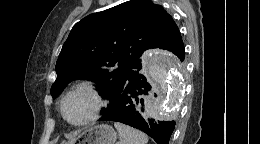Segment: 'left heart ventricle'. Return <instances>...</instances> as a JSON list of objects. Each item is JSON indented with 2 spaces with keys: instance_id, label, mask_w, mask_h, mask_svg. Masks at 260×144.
Wrapping results in <instances>:
<instances>
[{
  "instance_id": "left-heart-ventricle-1",
  "label": "left heart ventricle",
  "mask_w": 260,
  "mask_h": 144,
  "mask_svg": "<svg viewBox=\"0 0 260 144\" xmlns=\"http://www.w3.org/2000/svg\"><path fill=\"white\" fill-rule=\"evenodd\" d=\"M94 100L86 91H78L71 95L64 105V112L71 122H81L92 112Z\"/></svg>"
}]
</instances>
